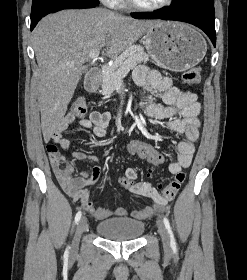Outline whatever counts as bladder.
Masks as SVG:
<instances>
[{"label":"bladder","mask_w":247,"mask_h":280,"mask_svg":"<svg viewBox=\"0 0 247 280\" xmlns=\"http://www.w3.org/2000/svg\"><path fill=\"white\" fill-rule=\"evenodd\" d=\"M145 230L142 221L128 217L109 218L96 226L97 233L109 240L129 241L139 238Z\"/></svg>","instance_id":"1"}]
</instances>
